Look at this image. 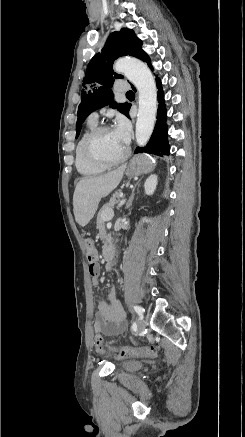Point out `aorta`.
Returning a JSON list of instances; mask_svg holds the SVG:
<instances>
[{
    "label": "aorta",
    "mask_w": 245,
    "mask_h": 437,
    "mask_svg": "<svg viewBox=\"0 0 245 437\" xmlns=\"http://www.w3.org/2000/svg\"><path fill=\"white\" fill-rule=\"evenodd\" d=\"M114 70L124 74L139 92L135 135L137 144L144 146L152 135L156 120L157 89L153 75L145 63L130 57L117 60Z\"/></svg>",
    "instance_id": "1"
}]
</instances>
